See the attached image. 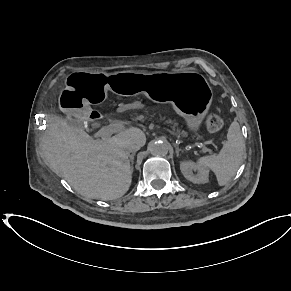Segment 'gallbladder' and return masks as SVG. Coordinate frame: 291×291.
<instances>
[{
    "instance_id": "bac80fb5",
    "label": "gallbladder",
    "mask_w": 291,
    "mask_h": 291,
    "mask_svg": "<svg viewBox=\"0 0 291 291\" xmlns=\"http://www.w3.org/2000/svg\"><path fill=\"white\" fill-rule=\"evenodd\" d=\"M67 123L70 125V126H73V127H82V124L79 122V121H77V120H75V119H72V118H68L67 119Z\"/></svg>"
}]
</instances>
